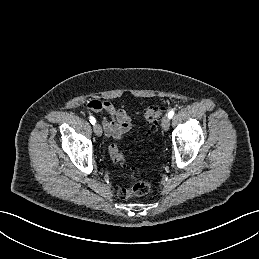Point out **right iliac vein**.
Returning a JSON list of instances; mask_svg holds the SVG:
<instances>
[{
    "label": "right iliac vein",
    "instance_id": "63e3f726",
    "mask_svg": "<svg viewBox=\"0 0 259 259\" xmlns=\"http://www.w3.org/2000/svg\"><path fill=\"white\" fill-rule=\"evenodd\" d=\"M93 130L98 137L102 135V127L99 124H95Z\"/></svg>",
    "mask_w": 259,
    "mask_h": 259
}]
</instances>
